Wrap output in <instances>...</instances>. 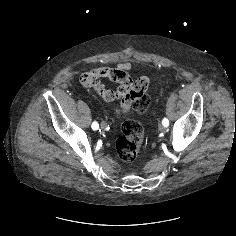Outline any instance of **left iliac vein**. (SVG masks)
Listing matches in <instances>:
<instances>
[{
  "mask_svg": "<svg viewBox=\"0 0 236 236\" xmlns=\"http://www.w3.org/2000/svg\"><path fill=\"white\" fill-rule=\"evenodd\" d=\"M159 130H160L161 132H163V131L166 130V127H165L164 125H160V126H159Z\"/></svg>",
  "mask_w": 236,
  "mask_h": 236,
  "instance_id": "1",
  "label": "left iliac vein"
}]
</instances>
